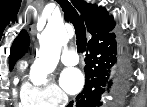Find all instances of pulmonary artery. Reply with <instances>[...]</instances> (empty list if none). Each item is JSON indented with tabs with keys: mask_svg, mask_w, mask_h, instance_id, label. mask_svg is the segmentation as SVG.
Here are the masks:
<instances>
[{
	"mask_svg": "<svg viewBox=\"0 0 147 107\" xmlns=\"http://www.w3.org/2000/svg\"><path fill=\"white\" fill-rule=\"evenodd\" d=\"M61 61L68 66L76 65L79 61L76 50L67 49L62 55Z\"/></svg>",
	"mask_w": 147,
	"mask_h": 107,
	"instance_id": "obj_1",
	"label": "pulmonary artery"
}]
</instances>
